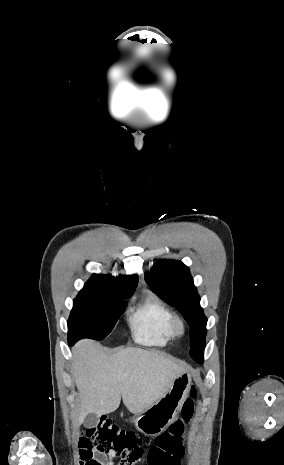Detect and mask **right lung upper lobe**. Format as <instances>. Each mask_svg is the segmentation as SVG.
Here are the masks:
<instances>
[{
    "label": "right lung upper lobe",
    "mask_w": 284,
    "mask_h": 465,
    "mask_svg": "<svg viewBox=\"0 0 284 465\" xmlns=\"http://www.w3.org/2000/svg\"><path fill=\"white\" fill-rule=\"evenodd\" d=\"M137 283L138 277L136 275L112 277L111 275L94 274L85 286L104 289L117 295H130L133 294Z\"/></svg>",
    "instance_id": "right-lung-upper-lobe-1"
}]
</instances>
